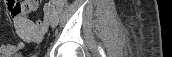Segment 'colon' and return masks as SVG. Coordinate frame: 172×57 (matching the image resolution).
Wrapping results in <instances>:
<instances>
[{
	"label": "colon",
	"mask_w": 172,
	"mask_h": 57,
	"mask_svg": "<svg viewBox=\"0 0 172 57\" xmlns=\"http://www.w3.org/2000/svg\"><path fill=\"white\" fill-rule=\"evenodd\" d=\"M14 13H16V11H11V15H13ZM37 24H38L39 27L44 28V23L43 22L38 21Z\"/></svg>",
	"instance_id": "colon-1"
}]
</instances>
